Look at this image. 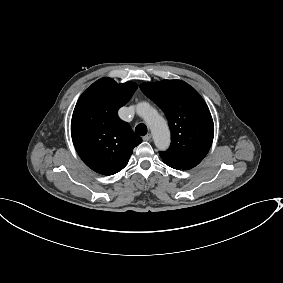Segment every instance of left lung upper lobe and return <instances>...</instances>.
I'll return each mask as SVG.
<instances>
[{
    "mask_svg": "<svg viewBox=\"0 0 283 283\" xmlns=\"http://www.w3.org/2000/svg\"><path fill=\"white\" fill-rule=\"evenodd\" d=\"M140 88L168 119L171 146L159 153L164 163L184 170L197 166L207 155L214 136V123L203 98L181 80L145 82Z\"/></svg>",
    "mask_w": 283,
    "mask_h": 283,
    "instance_id": "1",
    "label": "left lung upper lobe"
}]
</instances>
